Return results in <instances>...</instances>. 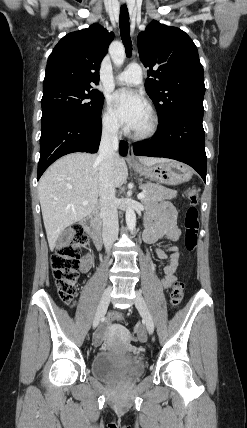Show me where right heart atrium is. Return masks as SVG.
<instances>
[{
	"label": "right heart atrium",
	"mask_w": 247,
	"mask_h": 428,
	"mask_svg": "<svg viewBox=\"0 0 247 428\" xmlns=\"http://www.w3.org/2000/svg\"><path fill=\"white\" fill-rule=\"evenodd\" d=\"M103 130L110 135H117L121 125L112 106L107 103L101 117Z\"/></svg>",
	"instance_id": "d8ad5b80"
}]
</instances>
